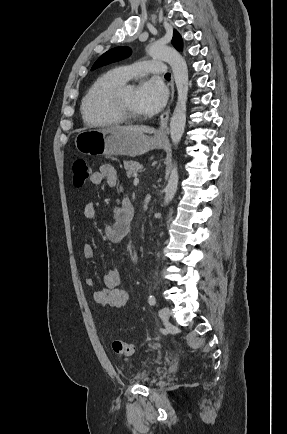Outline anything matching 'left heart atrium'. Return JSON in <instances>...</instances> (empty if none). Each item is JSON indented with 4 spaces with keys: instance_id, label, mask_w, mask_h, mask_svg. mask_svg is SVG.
I'll list each match as a JSON object with an SVG mask.
<instances>
[{
    "instance_id": "1",
    "label": "left heart atrium",
    "mask_w": 287,
    "mask_h": 434,
    "mask_svg": "<svg viewBox=\"0 0 287 434\" xmlns=\"http://www.w3.org/2000/svg\"><path fill=\"white\" fill-rule=\"evenodd\" d=\"M168 92L158 80L152 79L140 84L136 90V101L145 114L158 112L166 103Z\"/></svg>"
}]
</instances>
